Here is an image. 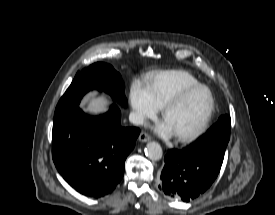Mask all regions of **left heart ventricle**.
I'll list each match as a JSON object with an SVG mask.
<instances>
[{"instance_id": "b2bd125f", "label": "left heart ventricle", "mask_w": 275, "mask_h": 215, "mask_svg": "<svg viewBox=\"0 0 275 215\" xmlns=\"http://www.w3.org/2000/svg\"><path fill=\"white\" fill-rule=\"evenodd\" d=\"M210 106V97L205 89L188 94L176 107L169 111L165 122L174 135L194 130L205 117Z\"/></svg>"}]
</instances>
